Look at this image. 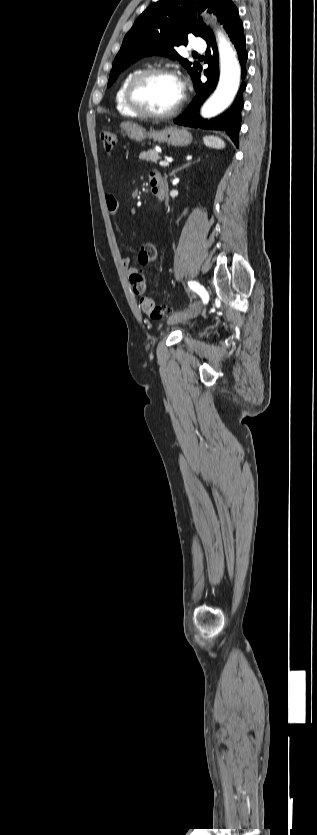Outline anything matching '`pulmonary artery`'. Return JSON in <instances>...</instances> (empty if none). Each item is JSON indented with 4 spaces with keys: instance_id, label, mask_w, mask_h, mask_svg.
<instances>
[{
    "instance_id": "e3ab8cb5",
    "label": "pulmonary artery",
    "mask_w": 317,
    "mask_h": 835,
    "mask_svg": "<svg viewBox=\"0 0 317 835\" xmlns=\"http://www.w3.org/2000/svg\"><path fill=\"white\" fill-rule=\"evenodd\" d=\"M191 49L203 52L206 49V43L202 39H195L191 44Z\"/></svg>"
}]
</instances>
